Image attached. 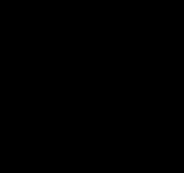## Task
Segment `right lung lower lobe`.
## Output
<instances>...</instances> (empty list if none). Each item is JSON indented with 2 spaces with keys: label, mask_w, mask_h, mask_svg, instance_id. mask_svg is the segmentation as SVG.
Segmentation results:
<instances>
[{
  "label": "right lung lower lobe",
  "mask_w": 184,
  "mask_h": 173,
  "mask_svg": "<svg viewBox=\"0 0 184 173\" xmlns=\"http://www.w3.org/2000/svg\"><path fill=\"white\" fill-rule=\"evenodd\" d=\"M81 120L69 115L59 119L17 128L21 147L32 158L46 164L65 161L75 146Z\"/></svg>",
  "instance_id": "obj_1"
}]
</instances>
